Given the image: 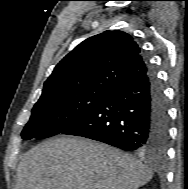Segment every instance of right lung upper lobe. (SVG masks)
Returning <instances> with one entry per match:
<instances>
[{
	"instance_id": "obj_1",
	"label": "right lung upper lobe",
	"mask_w": 188,
	"mask_h": 189,
	"mask_svg": "<svg viewBox=\"0 0 188 189\" xmlns=\"http://www.w3.org/2000/svg\"><path fill=\"white\" fill-rule=\"evenodd\" d=\"M146 73V59L133 37L105 31L83 41L56 65L41 97L93 88L114 90Z\"/></svg>"
}]
</instances>
